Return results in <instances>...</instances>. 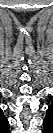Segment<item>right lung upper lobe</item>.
<instances>
[{"instance_id":"1","label":"right lung upper lobe","mask_w":53,"mask_h":133,"mask_svg":"<svg viewBox=\"0 0 53 133\" xmlns=\"http://www.w3.org/2000/svg\"><path fill=\"white\" fill-rule=\"evenodd\" d=\"M0 129H4L6 132H9V122L3 115L2 111L0 112Z\"/></svg>"}]
</instances>
